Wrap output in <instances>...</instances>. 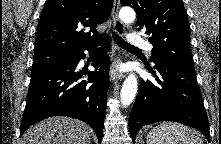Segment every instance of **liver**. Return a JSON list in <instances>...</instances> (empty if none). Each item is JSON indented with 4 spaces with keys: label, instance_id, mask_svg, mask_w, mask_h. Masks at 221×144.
<instances>
[{
    "label": "liver",
    "instance_id": "obj_1",
    "mask_svg": "<svg viewBox=\"0 0 221 144\" xmlns=\"http://www.w3.org/2000/svg\"><path fill=\"white\" fill-rule=\"evenodd\" d=\"M91 128L64 116L47 118L25 131L21 144H90Z\"/></svg>",
    "mask_w": 221,
    "mask_h": 144
}]
</instances>
